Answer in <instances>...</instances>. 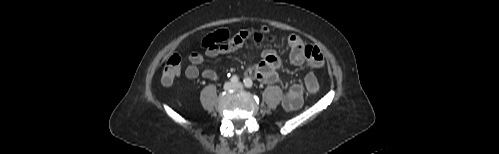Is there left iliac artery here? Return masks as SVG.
<instances>
[{
  "mask_svg": "<svg viewBox=\"0 0 499 154\" xmlns=\"http://www.w3.org/2000/svg\"><path fill=\"white\" fill-rule=\"evenodd\" d=\"M243 82H244V85H245L247 88H252V86H253V82H252V80H251L250 78H245V79L243 80Z\"/></svg>",
  "mask_w": 499,
  "mask_h": 154,
  "instance_id": "left-iliac-artery-1",
  "label": "left iliac artery"
}]
</instances>
